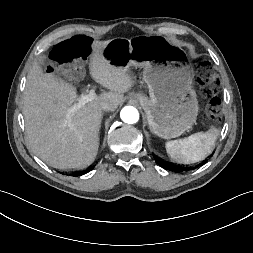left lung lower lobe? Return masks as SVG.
<instances>
[{
    "mask_svg": "<svg viewBox=\"0 0 253 253\" xmlns=\"http://www.w3.org/2000/svg\"><path fill=\"white\" fill-rule=\"evenodd\" d=\"M154 159L155 161L157 162V164L159 166H161L162 168L166 169V170H170V171H174V172H182L184 171V168L183 167H179V166H176L172 163H169L167 161H164L162 160L161 158L157 157V156H154ZM206 161H203L201 164H199L198 166L204 164Z\"/></svg>",
    "mask_w": 253,
    "mask_h": 253,
    "instance_id": "obj_1",
    "label": "left lung lower lobe"
}]
</instances>
